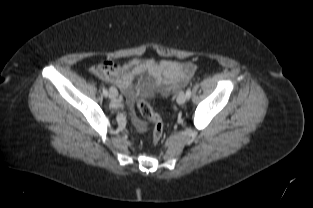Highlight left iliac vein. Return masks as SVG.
Returning <instances> with one entry per match:
<instances>
[{
  "mask_svg": "<svg viewBox=\"0 0 313 208\" xmlns=\"http://www.w3.org/2000/svg\"><path fill=\"white\" fill-rule=\"evenodd\" d=\"M186 99H187L186 94H185V92L182 91L179 93V95L177 97V103L182 105L186 102Z\"/></svg>",
  "mask_w": 313,
  "mask_h": 208,
  "instance_id": "1",
  "label": "left iliac vein"
}]
</instances>
